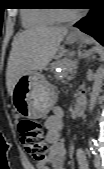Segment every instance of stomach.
Listing matches in <instances>:
<instances>
[{
    "instance_id": "0dacf381",
    "label": "stomach",
    "mask_w": 104,
    "mask_h": 169,
    "mask_svg": "<svg viewBox=\"0 0 104 169\" xmlns=\"http://www.w3.org/2000/svg\"><path fill=\"white\" fill-rule=\"evenodd\" d=\"M77 37L69 34L66 42L74 43ZM11 100L15 111L23 118L45 117L56 102L54 87L38 71L23 75L15 84Z\"/></svg>"
}]
</instances>
